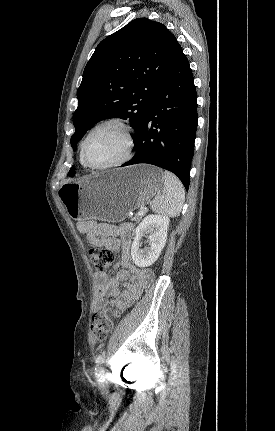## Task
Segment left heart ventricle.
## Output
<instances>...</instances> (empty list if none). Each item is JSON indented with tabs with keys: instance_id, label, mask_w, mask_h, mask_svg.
Wrapping results in <instances>:
<instances>
[{
	"instance_id": "b2bd125f",
	"label": "left heart ventricle",
	"mask_w": 275,
	"mask_h": 431,
	"mask_svg": "<svg viewBox=\"0 0 275 431\" xmlns=\"http://www.w3.org/2000/svg\"><path fill=\"white\" fill-rule=\"evenodd\" d=\"M126 150L123 131L114 125L97 130L86 144V159L90 164L102 165L120 159Z\"/></svg>"
}]
</instances>
